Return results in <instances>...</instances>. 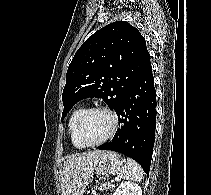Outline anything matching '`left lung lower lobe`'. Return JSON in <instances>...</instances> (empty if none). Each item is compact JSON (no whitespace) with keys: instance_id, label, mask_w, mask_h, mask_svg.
<instances>
[{"instance_id":"1","label":"left lung lower lobe","mask_w":211,"mask_h":195,"mask_svg":"<svg viewBox=\"0 0 211 195\" xmlns=\"http://www.w3.org/2000/svg\"><path fill=\"white\" fill-rule=\"evenodd\" d=\"M116 113L120 128L114 138L99 149L131 157L149 174L157 113L151 62L135 81Z\"/></svg>"}]
</instances>
